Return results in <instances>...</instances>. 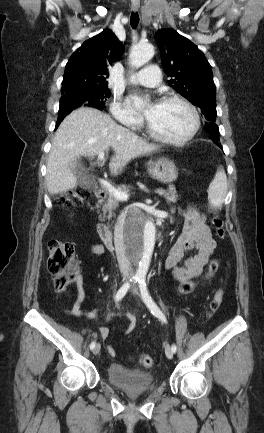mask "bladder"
<instances>
[{
    "mask_svg": "<svg viewBox=\"0 0 264 433\" xmlns=\"http://www.w3.org/2000/svg\"><path fill=\"white\" fill-rule=\"evenodd\" d=\"M106 374L112 385L127 392H149L155 384L152 373L117 364L109 365Z\"/></svg>",
    "mask_w": 264,
    "mask_h": 433,
    "instance_id": "1",
    "label": "bladder"
}]
</instances>
